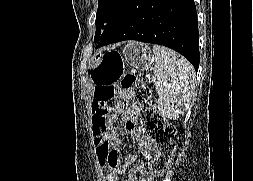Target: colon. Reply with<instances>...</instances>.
<instances>
[{"mask_svg":"<svg viewBox=\"0 0 253 181\" xmlns=\"http://www.w3.org/2000/svg\"><path fill=\"white\" fill-rule=\"evenodd\" d=\"M95 84L94 116L104 118L108 103L120 89L131 91L134 108L130 115L138 118L141 129L155 144L157 155L149 164L152 176H161L168 169L175 150L176 128L155 110L150 89L132 72H125L116 52L104 54L91 71Z\"/></svg>","mask_w":253,"mask_h":181,"instance_id":"1","label":"colon"}]
</instances>
